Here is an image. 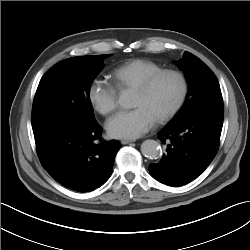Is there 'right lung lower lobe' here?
I'll list each match as a JSON object with an SVG mask.
<instances>
[{
	"label": "right lung lower lobe",
	"mask_w": 250,
	"mask_h": 250,
	"mask_svg": "<svg viewBox=\"0 0 250 250\" xmlns=\"http://www.w3.org/2000/svg\"><path fill=\"white\" fill-rule=\"evenodd\" d=\"M102 128L90 127L45 132L35 136L44 169L62 186L77 192L101 187L111 176L121 147L116 140L97 143Z\"/></svg>",
	"instance_id": "right-lung-lower-lobe-1"
}]
</instances>
